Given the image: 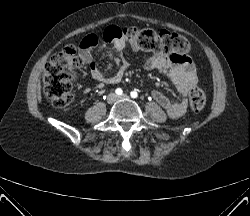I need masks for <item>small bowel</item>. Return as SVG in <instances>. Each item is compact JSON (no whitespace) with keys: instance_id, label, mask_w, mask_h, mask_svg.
Instances as JSON below:
<instances>
[{"instance_id":"obj_1","label":"small bowel","mask_w":250,"mask_h":216,"mask_svg":"<svg viewBox=\"0 0 250 216\" xmlns=\"http://www.w3.org/2000/svg\"><path fill=\"white\" fill-rule=\"evenodd\" d=\"M97 45L96 35H88L80 43L79 54L82 61L89 66L92 79L104 85L119 83L128 69V61L123 56L117 58L115 74L106 77L94 62V50ZM126 45L127 43L123 39L114 41V47L120 54L123 53ZM132 49L138 50L134 45H132ZM144 67L146 70H157L171 80L179 96L177 101H172L164 93L157 90L152 95L171 118L181 117L187 109V96L190 89L197 82V73L191 58L183 55L154 54L145 61Z\"/></svg>"}]
</instances>
